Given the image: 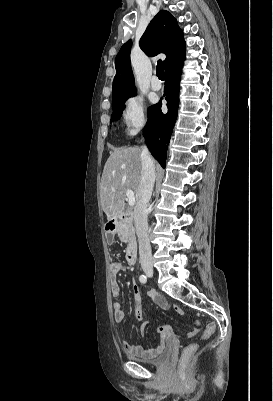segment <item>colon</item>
I'll return each instance as SVG.
<instances>
[{"label":"colon","instance_id":"5ec220e1","mask_svg":"<svg viewBox=\"0 0 273 401\" xmlns=\"http://www.w3.org/2000/svg\"><path fill=\"white\" fill-rule=\"evenodd\" d=\"M213 327L206 329L202 339L209 341L213 336ZM201 352V342L199 340H189L188 344L185 345V349H181V363L178 365L177 372L181 381H191L193 379L192 369L189 365L190 358H198Z\"/></svg>","mask_w":273,"mask_h":401}]
</instances>
